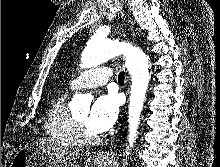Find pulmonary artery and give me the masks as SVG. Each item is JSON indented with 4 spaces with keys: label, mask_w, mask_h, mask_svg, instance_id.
I'll return each mask as SVG.
<instances>
[{
    "label": "pulmonary artery",
    "mask_w": 220,
    "mask_h": 167,
    "mask_svg": "<svg viewBox=\"0 0 220 167\" xmlns=\"http://www.w3.org/2000/svg\"><path fill=\"white\" fill-rule=\"evenodd\" d=\"M112 73L108 67L88 69L75 77L71 83V89H89L105 85L111 78Z\"/></svg>",
    "instance_id": "obj_1"
}]
</instances>
